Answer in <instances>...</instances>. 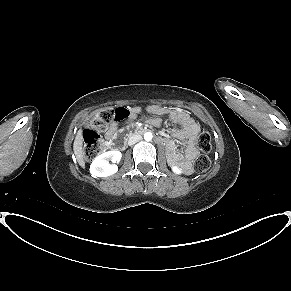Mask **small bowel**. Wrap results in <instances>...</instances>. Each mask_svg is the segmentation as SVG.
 Wrapping results in <instances>:
<instances>
[{
  "label": "small bowel",
  "mask_w": 291,
  "mask_h": 291,
  "mask_svg": "<svg viewBox=\"0 0 291 291\" xmlns=\"http://www.w3.org/2000/svg\"><path fill=\"white\" fill-rule=\"evenodd\" d=\"M146 111L154 115H166L169 119L180 128L173 132L174 137L186 142V150L184 156L180 154L175 145L169 141H163L168 150L169 158L177 163L185 173L191 172V163L196 158L198 152L194 146V141L199 132V126L195 120L184 110L178 108H168L158 105H151L146 108ZM141 112L140 107H134L129 110V119H135ZM126 119V118H125ZM121 120L114 121L106 133V139L111 143L117 135V129ZM148 122L152 125H160L158 118H149Z\"/></svg>",
  "instance_id": "obj_1"
}]
</instances>
